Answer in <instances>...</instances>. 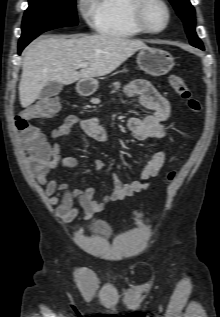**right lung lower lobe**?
I'll return each mask as SVG.
<instances>
[{"label": "right lung lower lobe", "instance_id": "98d812e1", "mask_svg": "<svg viewBox=\"0 0 220 317\" xmlns=\"http://www.w3.org/2000/svg\"><path fill=\"white\" fill-rule=\"evenodd\" d=\"M38 36V35H37ZM37 36L29 39V40H26V41H23V42H19V45H18V54L21 53V51L23 50V48L29 44L34 38H36Z\"/></svg>", "mask_w": 220, "mask_h": 317}]
</instances>
